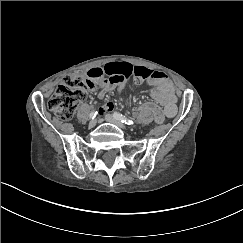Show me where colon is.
<instances>
[{"label": "colon", "instance_id": "5ec220e1", "mask_svg": "<svg viewBox=\"0 0 243 243\" xmlns=\"http://www.w3.org/2000/svg\"><path fill=\"white\" fill-rule=\"evenodd\" d=\"M93 80L79 75L67 76L48 100V108L61 119L71 118L78 104L86 98L87 92L94 88ZM140 110L152 113L156 123L164 122L163 112L157 105L147 102Z\"/></svg>", "mask_w": 243, "mask_h": 243}]
</instances>
